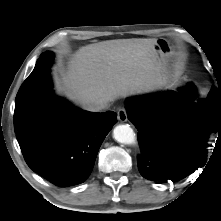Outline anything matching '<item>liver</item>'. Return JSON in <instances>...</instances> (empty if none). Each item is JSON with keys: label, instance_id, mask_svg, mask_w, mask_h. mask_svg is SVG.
I'll use <instances>...</instances> for the list:
<instances>
[{"label": "liver", "instance_id": "6515ba94", "mask_svg": "<svg viewBox=\"0 0 221 221\" xmlns=\"http://www.w3.org/2000/svg\"><path fill=\"white\" fill-rule=\"evenodd\" d=\"M156 42L132 38L83 46L70 58L60 88L83 107L153 91L161 86Z\"/></svg>", "mask_w": 221, "mask_h": 221}]
</instances>
